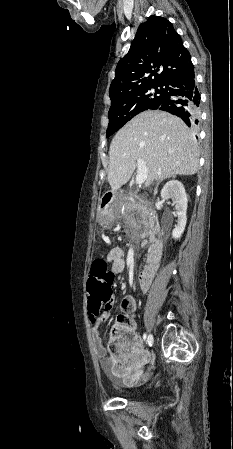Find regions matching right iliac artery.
I'll return each mask as SVG.
<instances>
[{
  "label": "right iliac artery",
  "instance_id": "right-iliac-artery-1",
  "mask_svg": "<svg viewBox=\"0 0 233 449\" xmlns=\"http://www.w3.org/2000/svg\"><path fill=\"white\" fill-rule=\"evenodd\" d=\"M146 337H147L146 334H144L143 335L144 340L146 339ZM147 342H148V345L151 347L152 343H151V341H149V336H148Z\"/></svg>",
  "mask_w": 233,
  "mask_h": 449
}]
</instances>
